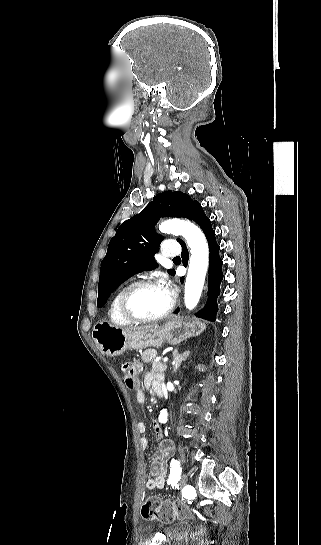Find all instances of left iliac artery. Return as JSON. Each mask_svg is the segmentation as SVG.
<instances>
[{"label": "left iliac artery", "mask_w": 321, "mask_h": 545, "mask_svg": "<svg viewBox=\"0 0 321 545\" xmlns=\"http://www.w3.org/2000/svg\"><path fill=\"white\" fill-rule=\"evenodd\" d=\"M170 476H169V479L167 481V484H170L172 482H176L178 480H180V475H181V472H182V469L180 467V464H179V461H177L176 459H172L171 460V463H170Z\"/></svg>", "instance_id": "1"}]
</instances>
